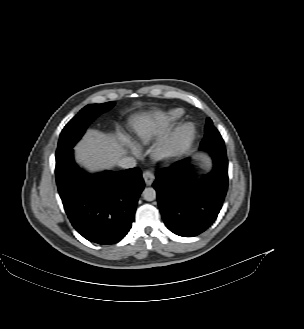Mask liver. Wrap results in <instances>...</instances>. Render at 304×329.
Returning a JSON list of instances; mask_svg holds the SVG:
<instances>
[{
  "instance_id": "6515ba94",
  "label": "liver",
  "mask_w": 304,
  "mask_h": 329,
  "mask_svg": "<svg viewBox=\"0 0 304 329\" xmlns=\"http://www.w3.org/2000/svg\"><path fill=\"white\" fill-rule=\"evenodd\" d=\"M151 127L149 120H140L136 131L142 133ZM76 160L89 170L111 168L126 154V150L116 141L113 134L98 130H88L83 140L75 147Z\"/></svg>"
}]
</instances>
